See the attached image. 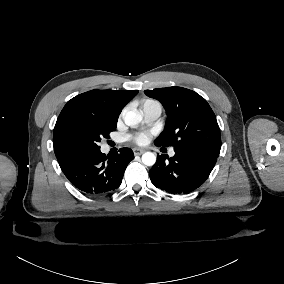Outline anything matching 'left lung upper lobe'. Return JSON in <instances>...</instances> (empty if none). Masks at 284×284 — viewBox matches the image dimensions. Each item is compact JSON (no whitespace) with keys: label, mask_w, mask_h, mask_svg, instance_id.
<instances>
[{"label":"left lung upper lobe","mask_w":284,"mask_h":284,"mask_svg":"<svg viewBox=\"0 0 284 284\" xmlns=\"http://www.w3.org/2000/svg\"><path fill=\"white\" fill-rule=\"evenodd\" d=\"M144 92L160 101L168 115L165 129L154 141L155 144L219 156L220 129L214 112L203 97L182 87L156 88Z\"/></svg>","instance_id":"5c2ea615"}]
</instances>
